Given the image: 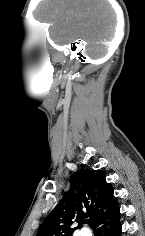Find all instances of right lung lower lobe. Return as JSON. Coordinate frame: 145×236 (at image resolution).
Segmentation results:
<instances>
[{"label": "right lung lower lobe", "mask_w": 145, "mask_h": 236, "mask_svg": "<svg viewBox=\"0 0 145 236\" xmlns=\"http://www.w3.org/2000/svg\"><path fill=\"white\" fill-rule=\"evenodd\" d=\"M119 218L120 212L118 208L94 229L95 236H120L122 230Z\"/></svg>", "instance_id": "obj_1"}]
</instances>
